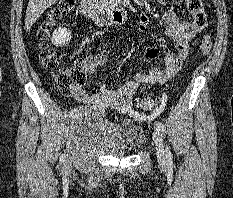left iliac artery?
Here are the masks:
<instances>
[{"label":"left iliac artery","mask_w":233,"mask_h":198,"mask_svg":"<svg viewBox=\"0 0 233 198\" xmlns=\"http://www.w3.org/2000/svg\"><path fill=\"white\" fill-rule=\"evenodd\" d=\"M154 125H155V127H156L157 129H159V130L162 131L163 133L166 132L164 125H163L160 121H156V122L154 123ZM166 158H167V161H168L169 163H172V155H171V151H170L169 147L166 148Z\"/></svg>","instance_id":"1"}]
</instances>
